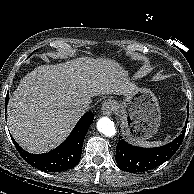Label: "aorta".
I'll return each instance as SVG.
<instances>
[{
  "mask_svg": "<svg viewBox=\"0 0 194 194\" xmlns=\"http://www.w3.org/2000/svg\"><path fill=\"white\" fill-rule=\"evenodd\" d=\"M97 129L100 133L112 137L116 133L114 122L108 117H102L97 122Z\"/></svg>",
  "mask_w": 194,
  "mask_h": 194,
  "instance_id": "762f6f07",
  "label": "aorta"
}]
</instances>
